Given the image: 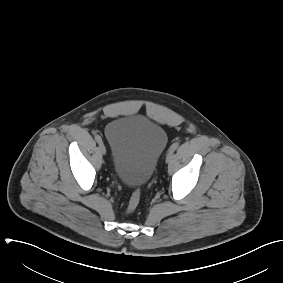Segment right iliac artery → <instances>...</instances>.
Returning a JSON list of instances; mask_svg holds the SVG:
<instances>
[{"mask_svg":"<svg viewBox=\"0 0 283 283\" xmlns=\"http://www.w3.org/2000/svg\"><path fill=\"white\" fill-rule=\"evenodd\" d=\"M95 140L100 144L102 143V138L99 135L95 136Z\"/></svg>","mask_w":283,"mask_h":283,"instance_id":"82829eb1","label":"right iliac artery"}]
</instances>
